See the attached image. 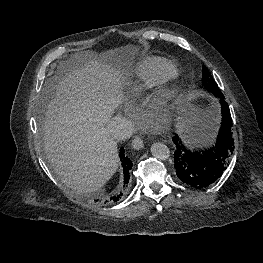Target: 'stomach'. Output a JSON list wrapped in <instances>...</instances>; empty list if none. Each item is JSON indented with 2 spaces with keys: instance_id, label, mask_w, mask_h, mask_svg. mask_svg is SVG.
Instances as JSON below:
<instances>
[{
  "instance_id": "obj_1",
  "label": "stomach",
  "mask_w": 263,
  "mask_h": 263,
  "mask_svg": "<svg viewBox=\"0 0 263 263\" xmlns=\"http://www.w3.org/2000/svg\"><path fill=\"white\" fill-rule=\"evenodd\" d=\"M125 53H127L132 59L139 53V49L135 46H128L125 49Z\"/></svg>"
}]
</instances>
